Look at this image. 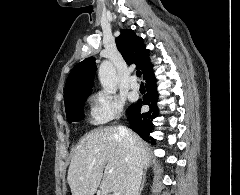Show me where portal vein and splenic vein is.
<instances>
[{
  "label": "portal vein and splenic vein",
  "instance_id": "portal-vein-and-splenic-vein-1",
  "mask_svg": "<svg viewBox=\"0 0 240 195\" xmlns=\"http://www.w3.org/2000/svg\"><path fill=\"white\" fill-rule=\"evenodd\" d=\"M113 195H120V193H117V191H114Z\"/></svg>",
  "mask_w": 240,
  "mask_h": 195
}]
</instances>
